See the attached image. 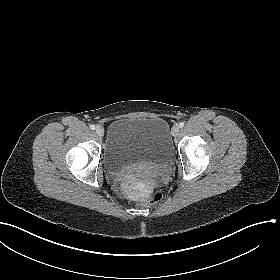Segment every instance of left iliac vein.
<instances>
[{
    "label": "left iliac vein",
    "mask_w": 280,
    "mask_h": 280,
    "mask_svg": "<svg viewBox=\"0 0 280 280\" xmlns=\"http://www.w3.org/2000/svg\"><path fill=\"white\" fill-rule=\"evenodd\" d=\"M180 131V127L178 125H174L172 127L171 133L173 136H177L179 134Z\"/></svg>",
    "instance_id": "1"
}]
</instances>
